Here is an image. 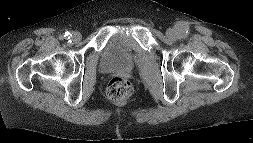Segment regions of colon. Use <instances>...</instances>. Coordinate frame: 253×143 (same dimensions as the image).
Instances as JSON below:
<instances>
[{
  "instance_id": "obj_1",
  "label": "colon",
  "mask_w": 253,
  "mask_h": 143,
  "mask_svg": "<svg viewBox=\"0 0 253 143\" xmlns=\"http://www.w3.org/2000/svg\"><path fill=\"white\" fill-rule=\"evenodd\" d=\"M131 93V83L124 77H115L108 83L107 96L113 101H124Z\"/></svg>"
}]
</instances>
